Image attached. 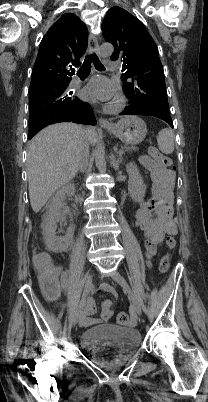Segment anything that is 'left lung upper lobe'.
I'll list each match as a JSON object with an SVG mask.
<instances>
[{
	"label": "left lung upper lobe",
	"instance_id": "obj_1",
	"mask_svg": "<svg viewBox=\"0 0 208 402\" xmlns=\"http://www.w3.org/2000/svg\"><path fill=\"white\" fill-rule=\"evenodd\" d=\"M102 33L114 45L111 60L123 62V90L129 104L169 113L158 49L144 24L128 11L112 7L103 20Z\"/></svg>",
	"mask_w": 208,
	"mask_h": 402
}]
</instances>
